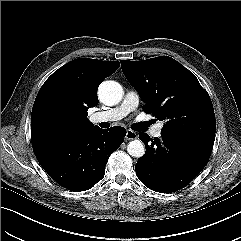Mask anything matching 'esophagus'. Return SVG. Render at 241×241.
Here are the masks:
<instances>
[{"mask_svg": "<svg viewBox=\"0 0 241 241\" xmlns=\"http://www.w3.org/2000/svg\"><path fill=\"white\" fill-rule=\"evenodd\" d=\"M138 138V134L134 132L133 130H127L126 132V139L127 140H134Z\"/></svg>", "mask_w": 241, "mask_h": 241, "instance_id": "esophagus-1", "label": "esophagus"}]
</instances>
